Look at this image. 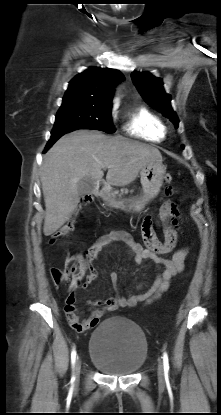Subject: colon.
<instances>
[{
  "mask_svg": "<svg viewBox=\"0 0 221 415\" xmlns=\"http://www.w3.org/2000/svg\"><path fill=\"white\" fill-rule=\"evenodd\" d=\"M165 181L170 183L172 181L171 174L165 175ZM160 219L163 221L170 220L172 213L169 207L166 204L160 209ZM74 229L72 222H68L63 225L59 230H57L50 240V243L53 245L58 242L60 239L67 237ZM88 257H82L81 255H71L66 258L62 267H52L50 270L53 283L56 287L63 285L68 279L71 278L70 288L80 286L83 283V277L85 273V266Z\"/></svg>",
  "mask_w": 221,
  "mask_h": 415,
  "instance_id": "1",
  "label": "colon"
}]
</instances>
